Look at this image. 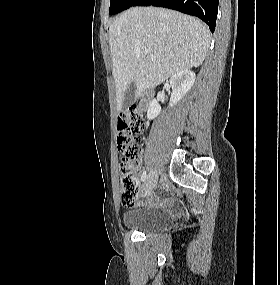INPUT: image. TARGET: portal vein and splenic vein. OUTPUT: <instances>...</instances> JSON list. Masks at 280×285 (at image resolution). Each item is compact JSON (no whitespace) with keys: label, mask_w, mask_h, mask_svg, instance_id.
Listing matches in <instances>:
<instances>
[{"label":"portal vein and splenic vein","mask_w":280,"mask_h":285,"mask_svg":"<svg viewBox=\"0 0 280 285\" xmlns=\"http://www.w3.org/2000/svg\"><path fill=\"white\" fill-rule=\"evenodd\" d=\"M144 53L148 54V57L150 60L154 61L156 60V57L153 54H149V50L148 49H144Z\"/></svg>","instance_id":"18ae733b"}]
</instances>
